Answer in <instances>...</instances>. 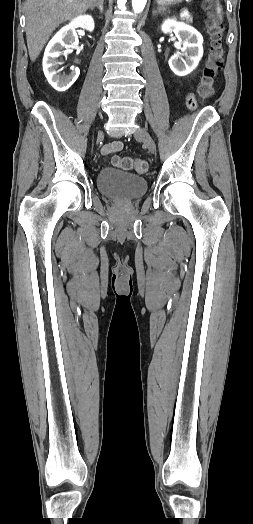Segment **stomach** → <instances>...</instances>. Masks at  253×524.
Wrapping results in <instances>:
<instances>
[{"mask_svg":"<svg viewBox=\"0 0 253 524\" xmlns=\"http://www.w3.org/2000/svg\"><path fill=\"white\" fill-rule=\"evenodd\" d=\"M182 0H156V2L159 4V5H162V6H165V5H172V4H177V3H180Z\"/></svg>","mask_w":253,"mask_h":524,"instance_id":"1","label":"stomach"}]
</instances>
